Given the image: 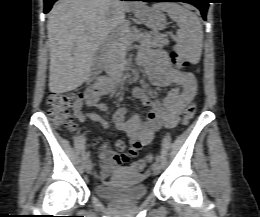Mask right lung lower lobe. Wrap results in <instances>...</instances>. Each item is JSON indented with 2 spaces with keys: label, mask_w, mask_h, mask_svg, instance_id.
Wrapping results in <instances>:
<instances>
[{
  "label": "right lung lower lobe",
  "mask_w": 260,
  "mask_h": 217,
  "mask_svg": "<svg viewBox=\"0 0 260 217\" xmlns=\"http://www.w3.org/2000/svg\"><path fill=\"white\" fill-rule=\"evenodd\" d=\"M57 0H44L45 7H44V13H48V11L51 9L54 2ZM125 1H132V0H125Z\"/></svg>",
  "instance_id": "1"
}]
</instances>
